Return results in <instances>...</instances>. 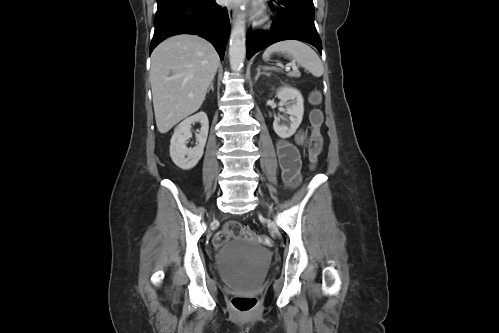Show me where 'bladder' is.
Here are the masks:
<instances>
[{"mask_svg":"<svg viewBox=\"0 0 499 333\" xmlns=\"http://www.w3.org/2000/svg\"><path fill=\"white\" fill-rule=\"evenodd\" d=\"M269 248L245 239H230L217 255L221 276L240 291H250L264 277L270 262Z\"/></svg>","mask_w":499,"mask_h":333,"instance_id":"1","label":"bladder"}]
</instances>
